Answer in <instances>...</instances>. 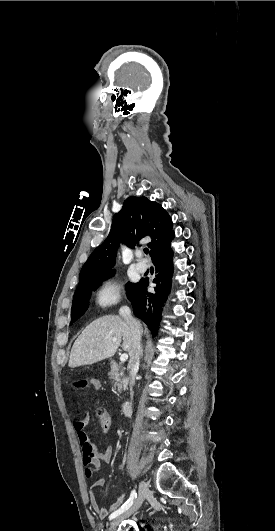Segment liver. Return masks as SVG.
<instances>
[{"label":"liver","instance_id":"liver-1","mask_svg":"<svg viewBox=\"0 0 275 531\" xmlns=\"http://www.w3.org/2000/svg\"><path fill=\"white\" fill-rule=\"evenodd\" d=\"M142 333L141 323L138 321ZM117 339V341H113ZM123 339V351H128L131 345L132 333L130 325L125 319L116 315H106L90 323L83 333L76 339L70 359L69 367H82L93 365L114 357Z\"/></svg>","mask_w":275,"mask_h":531}]
</instances>
